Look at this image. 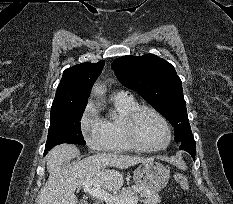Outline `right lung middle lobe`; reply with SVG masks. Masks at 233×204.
Segmentation results:
<instances>
[{
	"label": "right lung middle lobe",
	"instance_id": "dd1d6c3e",
	"mask_svg": "<svg viewBox=\"0 0 233 204\" xmlns=\"http://www.w3.org/2000/svg\"><path fill=\"white\" fill-rule=\"evenodd\" d=\"M87 103L51 107L50 127L45 151L62 143L85 145L80 120Z\"/></svg>",
	"mask_w": 233,
	"mask_h": 204
}]
</instances>
